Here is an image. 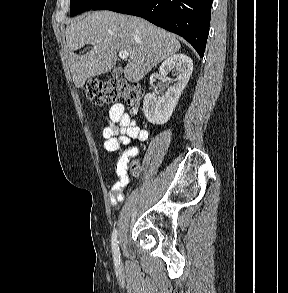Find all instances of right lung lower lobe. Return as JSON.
I'll use <instances>...</instances> for the list:
<instances>
[{
    "label": "right lung lower lobe",
    "mask_w": 288,
    "mask_h": 293,
    "mask_svg": "<svg viewBox=\"0 0 288 293\" xmlns=\"http://www.w3.org/2000/svg\"><path fill=\"white\" fill-rule=\"evenodd\" d=\"M212 0H122L108 10L136 15L187 40L202 57Z\"/></svg>",
    "instance_id": "right-lung-lower-lobe-1"
}]
</instances>
